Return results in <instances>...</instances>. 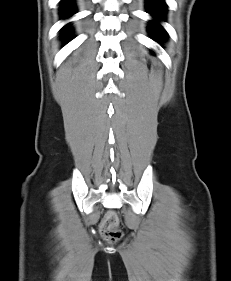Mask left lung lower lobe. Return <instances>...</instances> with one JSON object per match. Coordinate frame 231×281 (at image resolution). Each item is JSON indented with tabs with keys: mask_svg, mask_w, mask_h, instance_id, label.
I'll use <instances>...</instances> for the list:
<instances>
[{
	"mask_svg": "<svg viewBox=\"0 0 231 281\" xmlns=\"http://www.w3.org/2000/svg\"><path fill=\"white\" fill-rule=\"evenodd\" d=\"M147 9L149 13L158 20H164V10L166 7L164 0H147ZM150 32L155 37L161 38L165 30L157 22H152Z\"/></svg>",
	"mask_w": 231,
	"mask_h": 281,
	"instance_id": "left-lung-lower-lobe-1",
	"label": "left lung lower lobe"
}]
</instances>
